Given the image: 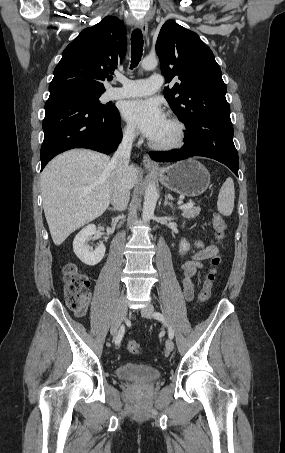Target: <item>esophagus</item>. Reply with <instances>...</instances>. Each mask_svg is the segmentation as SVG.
Wrapping results in <instances>:
<instances>
[{
	"label": "esophagus",
	"mask_w": 285,
	"mask_h": 453,
	"mask_svg": "<svg viewBox=\"0 0 285 453\" xmlns=\"http://www.w3.org/2000/svg\"><path fill=\"white\" fill-rule=\"evenodd\" d=\"M142 33L144 36L147 35V32H148V24H147V21L146 20H142L140 22V25H139ZM143 165L145 166V168L147 169H158V164L153 161L149 155L145 154L143 156Z\"/></svg>",
	"instance_id": "obj_1"
}]
</instances>
